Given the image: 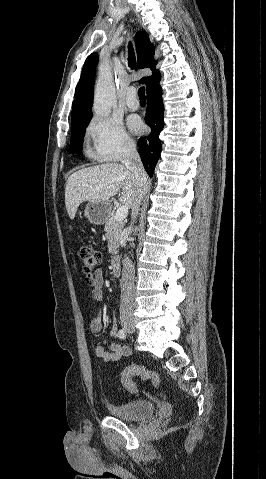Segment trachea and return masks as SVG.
Here are the masks:
<instances>
[{
	"label": "trachea",
	"mask_w": 266,
	"mask_h": 479,
	"mask_svg": "<svg viewBox=\"0 0 266 479\" xmlns=\"http://www.w3.org/2000/svg\"><path fill=\"white\" fill-rule=\"evenodd\" d=\"M128 52H129V67L131 69H134L135 67V64H136V60H135V53H134V50H133V46L132 44L130 43L129 46H128ZM138 96H139V99L140 100H144L146 101V96H145V87H140L139 90H138Z\"/></svg>",
	"instance_id": "3493384b"
}]
</instances>
